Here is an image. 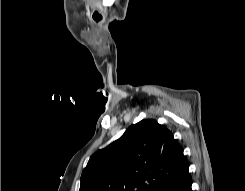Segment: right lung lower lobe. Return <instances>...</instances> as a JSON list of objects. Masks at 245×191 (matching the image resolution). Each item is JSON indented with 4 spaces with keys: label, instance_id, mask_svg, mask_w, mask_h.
Returning <instances> with one entry per match:
<instances>
[{
    "label": "right lung lower lobe",
    "instance_id": "98d812e1",
    "mask_svg": "<svg viewBox=\"0 0 245 191\" xmlns=\"http://www.w3.org/2000/svg\"><path fill=\"white\" fill-rule=\"evenodd\" d=\"M189 170L184 171L177 178L162 185L157 191H192Z\"/></svg>",
    "mask_w": 245,
    "mask_h": 191
}]
</instances>
